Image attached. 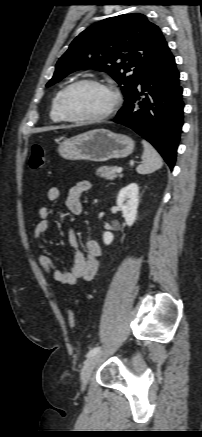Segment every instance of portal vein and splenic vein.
Returning <instances> with one entry per match:
<instances>
[{
	"label": "portal vein and splenic vein",
	"mask_w": 202,
	"mask_h": 437,
	"mask_svg": "<svg viewBox=\"0 0 202 437\" xmlns=\"http://www.w3.org/2000/svg\"><path fill=\"white\" fill-rule=\"evenodd\" d=\"M116 172H117V173H121V172H122V168H121V167H118V168L116 169Z\"/></svg>",
	"instance_id": "18ae733b"
}]
</instances>
